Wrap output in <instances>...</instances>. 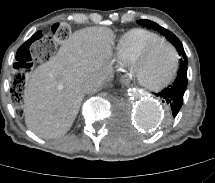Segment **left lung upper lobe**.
I'll use <instances>...</instances> for the list:
<instances>
[{"label":"left lung upper lobe","mask_w":215,"mask_h":183,"mask_svg":"<svg viewBox=\"0 0 215 183\" xmlns=\"http://www.w3.org/2000/svg\"><path fill=\"white\" fill-rule=\"evenodd\" d=\"M137 23H139L143 26H146L148 28L155 29L159 33H161L163 36H165L176 47L179 55L181 56L180 64H182V63L187 64V57H186V53L184 51L183 45L174 34H172L167 29L161 27L160 25H158L152 21H149V20H139V21H137Z\"/></svg>","instance_id":"obj_1"}]
</instances>
